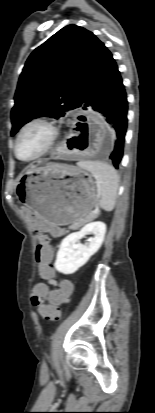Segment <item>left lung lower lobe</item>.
Segmentation results:
<instances>
[{"instance_id":"obj_1","label":"left lung lower lobe","mask_w":155,"mask_h":413,"mask_svg":"<svg viewBox=\"0 0 155 413\" xmlns=\"http://www.w3.org/2000/svg\"><path fill=\"white\" fill-rule=\"evenodd\" d=\"M81 107H91L113 125L117 140L110 159L118 169L124 150L128 104L120 72L109 50L89 82Z\"/></svg>"}]
</instances>
